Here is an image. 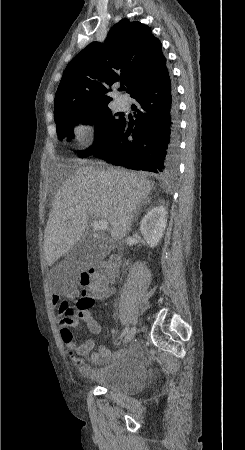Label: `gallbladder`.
<instances>
[{
	"mask_svg": "<svg viewBox=\"0 0 245 450\" xmlns=\"http://www.w3.org/2000/svg\"><path fill=\"white\" fill-rule=\"evenodd\" d=\"M108 246L95 239L83 238L76 243L66 256V263L74 270H82L109 254Z\"/></svg>",
	"mask_w": 245,
	"mask_h": 450,
	"instance_id": "1",
	"label": "gallbladder"
}]
</instances>
